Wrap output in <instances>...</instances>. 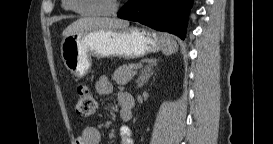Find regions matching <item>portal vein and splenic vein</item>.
Masks as SVG:
<instances>
[{
	"label": "portal vein and splenic vein",
	"instance_id": "portal-vein-and-splenic-vein-1",
	"mask_svg": "<svg viewBox=\"0 0 273 144\" xmlns=\"http://www.w3.org/2000/svg\"><path fill=\"white\" fill-rule=\"evenodd\" d=\"M140 68H142V64H140V63L137 64V65L135 66V69H136V70H138V69H140Z\"/></svg>",
	"mask_w": 273,
	"mask_h": 144
}]
</instances>
